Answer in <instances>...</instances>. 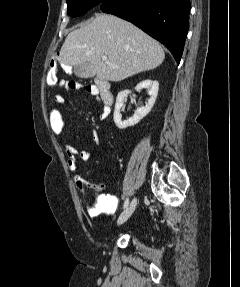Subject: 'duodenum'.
<instances>
[{"instance_id": "410a0bca", "label": "duodenum", "mask_w": 240, "mask_h": 287, "mask_svg": "<svg viewBox=\"0 0 240 287\" xmlns=\"http://www.w3.org/2000/svg\"><path fill=\"white\" fill-rule=\"evenodd\" d=\"M96 87L104 104L108 107L111 106L113 103L111 83L108 80H99L96 84Z\"/></svg>"}]
</instances>
